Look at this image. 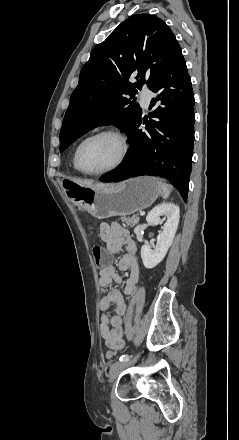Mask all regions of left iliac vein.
<instances>
[{"label":"left iliac vein","mask_w":239,"mask_h":440,"mask_svg":"<svg viewBox=\"0 0 239 440\" xmlns=\"http://www.w3.org/2000/svg\"><path fill=\"white\" fill-rule=\"evenodd\" d=\"M138 357H139V354H137L136 356H135V358L133 359V360H131V361H117V362H115L112 366H111V368H110V371H109V382L111 383V382H113L115 379H116V377L123 371V370H125L126 368H128V367H130L133 363H135L136 362V360L138 359Z\"/></svg>","instance_id":"obj_1"}]
</instances>
